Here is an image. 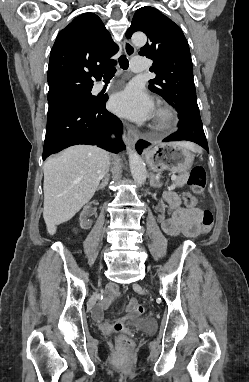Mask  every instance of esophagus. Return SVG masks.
<instances>
[{"mask_svg": "<svg viewBox=\"0 0 249 382\" xmlns=\"http://www.w3.org/2000/svg\"><path fill=\"white\" fill-rule=\"evenodd\" d=\"M123 49H124L125 54L128 57L133 56L135 54V52H136V48L128 40H124V42H123ZM127 132H128V137H129V140H130L131 144L135 145V143L138 140L137 132L131 126H129L127 128Z\"/></svg>", "mask_w": 249, "mask_h": 382, "instance_id": "obj_1", "label": "esophagus"}]
</instances>
